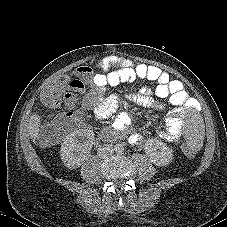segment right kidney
<instances>
[{"label":"right kidney","instance_id":"right-kidney-1","mask_svg":"<svg viewBox=\"0 0 227 227\" xmlns=\"http://www.w3.org/2000/svg\"><path fill=\"white\" fill-rule=\"evenodd\" d=\"M94 132L89 129H79L68 134L62 144L60 156L68 169H76L86 160L92 149Z\"/></svg>","mask_w":227,"mask_h":227}]
</instances>
